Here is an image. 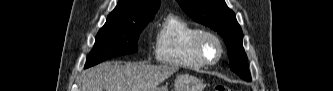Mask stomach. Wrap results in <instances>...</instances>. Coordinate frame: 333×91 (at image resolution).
<instances>
[{
	"label": "stomach",
	"mask_w": 333,
	"mask_h": 91,
	"mask_svg": "<svg viewBox=\"0 0 333 91\" xmlns=\"http://www.w3.org/2000/svg\"><path fill=\"white\" fill-rule=\"evenodd\" d=\"M174 89V91H203L204 84L202 80L195 76L182 74L176 77ZM154 91H167V88L162 86Z\"/></svg>",
	"instance_id": "stomach-1"
}]
</instances>
